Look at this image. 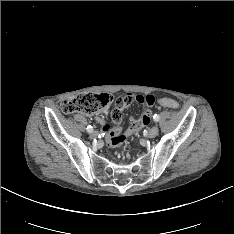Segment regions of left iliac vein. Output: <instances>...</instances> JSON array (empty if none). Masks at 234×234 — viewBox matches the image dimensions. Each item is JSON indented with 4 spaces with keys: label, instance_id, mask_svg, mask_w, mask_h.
Wrapping results in <instances>:
<instances>
[{
    "label": "left iliac vein",
    "instance_id": "left-iliac-vein-1",
    "mask_svg": "<svg viewBox=\"0 0 234 234\" xmlns=\"http://www.w3.org/2000/svg\"><path fill=\"white\" fill-rule=\"evenodd\" d=\"M158 132H159V128L157 125L153 126L149 132H148V137L149 138H154L158 135Z\"/></svg>",
    "mask_w": 234,
    "mask_h": 234
}]
</instances>
